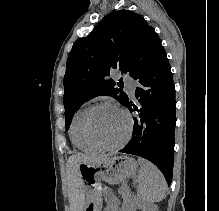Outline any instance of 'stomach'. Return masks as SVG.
Returning a JSON list of instances; mask_svg holds the SVG:
<instances>
[{
  "label": "stomach",
  "mask_w": 219,
  "mask_h": 211,
  "mask_svg": "<svg viewBox=\"0 0 219 211\" xmlns=\"http://www.w3.org/2000/svg\"><path fill=\"white\" fill-rule=\"evenodd\" d=\"M137 170V162L129 156L112 155L97 164L80 163L79 176L87 190V203L83 211H97L101 205L98 187L101 181L118 184L133 175Z\"/></svg>",
  "instance_id": "obj_1"
}]
</instances>
